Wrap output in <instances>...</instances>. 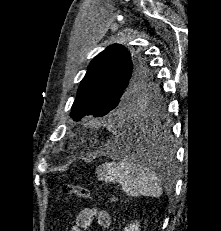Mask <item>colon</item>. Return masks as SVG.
<instances>
[{
    "label": "colon",
    "instance_id": "5ec220e1",
    "mask_svg": "<svg viewBox=\"0 0 221 231\" xmlns=\"http://www.w3.org/2000/svg\"><path fill=\"white\" fill-rule=\"evenodd\" d=\"M60 195H75L81 199H92V195L88 189L72 183L64 184L60 189ZM111 200L114 201L115 198Z\"/></svg>",
    "mask_w": 221,
    "mask_h": 231
}]
</instances>
